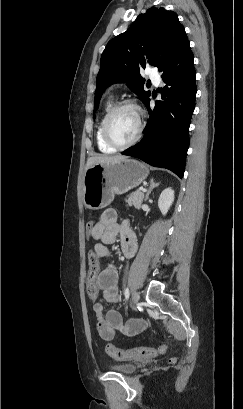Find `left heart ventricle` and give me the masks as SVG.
Instances as JSON below:
<instances>
[{"label": "left heart ventricle", "instance_id": "b2bd125f", "mask_svg": "<svg viewBox=\"0 0 243 409\" xmlns=\"http://www.w3.org/2000/svg\"><path fill=\"white\" fill-rule=\"evenodd\" d=\"M138 131V118L131 108L120 110L110 123L112 137L121 143L131 140Z\"/></svg>", "mask_w": 243, "mask_h": 409}]
</instances>
